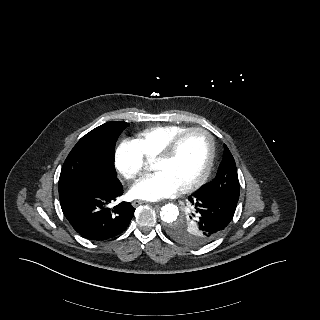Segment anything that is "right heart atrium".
<instances>
[{"label":"right heart atrium","mask_w":320,"mask_h":320,"mask_svg":"<svg viewBox=\"0 0 320 320\" xmlns=\"http://www.w3.org/2000/svg\"><path fill=\"white\" fill-rule=\"evenodd\" d=\"M115 165L123 177L128 180L139 176L144 168V159L136 143L125 139L117 147Z\"/></svg>","instance_id":"right-heart-atrium-1"}]
</instances>
